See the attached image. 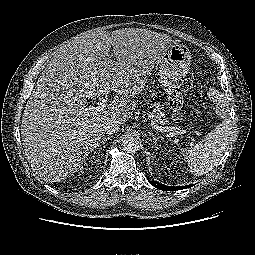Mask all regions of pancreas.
I'll use <instances>...</instances> for the list:
<instances>
[{
  "mask_svg": "<svg viewBox=\"0 0 255 255\" xmlns=\"http://www.w3.org/2000/svg\"><path fill=\"white\" fill-rule=\"evenodd\" d=\"M152 108H153L152 113L155 116V118L157 119V121H159L162 124L169 123V120H167L165 117V113L162 111L163 108L160 103L155 102L154 104H152Z\"/></svg>",
  "mask_w": 255,
  "mask_h": 255,
  "instance_id": "1",
  "label": "pancreas"
}]
</instances>
